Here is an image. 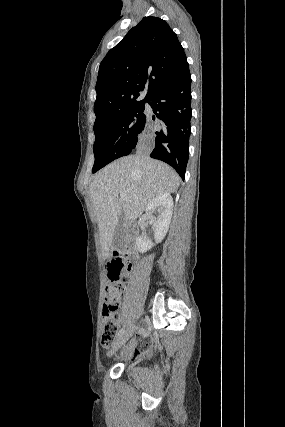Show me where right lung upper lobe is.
<instances>
[{"instance_id":"cb5924a9","label":"right lung upper lobe","mask_w":285,"mask_h":427,"mask_svg":"<svg viewBox=\"0 0 285 427\" xmlns=\"http://www.w3.org/2000/svg\"><path fill=\"white\" fill-rule=\"evenodd\" d=\"M187 72L188 62L177 35L166 21L144 17L100 64L94 126L127 107L150 100ZM144 90L145 98L136 101Z\"/></svg>"}]
</instances>
